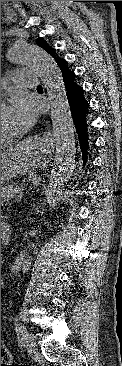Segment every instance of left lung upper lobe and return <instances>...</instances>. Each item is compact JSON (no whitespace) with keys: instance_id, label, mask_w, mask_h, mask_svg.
<instances>
[{"instance_id":"left-lung-upper-lobe-1","label":"left lung upper lobe","mask_w":122,"mask_h":366,"mask_svg":"<svg viewBox=\"0 0 122 366\" xmlns=\"http://www.w3.org/2000/svg\"><path fill=\"white\" fill-rule=\"evenodd\" d=\"M37 45L43 48L46 52H48L55 61L58 60L60 57L56 54L55 49L50 47L44 40L41 38L37 39Z\"/></svg>"}]
</instances>
